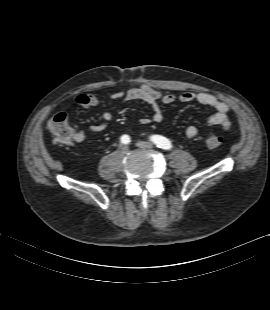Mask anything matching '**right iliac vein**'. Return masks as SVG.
Returning a JSON list of instances; mask_svg holds the SVG:
<instances>
[{
    "label": "right iliac vein",
    "instance_id": "right-iliac-vein-1",
    "mask_svg": "<svg viewBox=\"0 0 270 310\" xmlns=\"http://www.w3.org/2000/svg\"><path fill=\"white\" fill-rule=\"evenodd\" d=\"M128 150L129 149H128V147L126 145H123V146L120 147V152L122 154H126L128 152Z\"/></svg>",
    "mask_w": 270,
    "mask_h": 310
}]
</instances>
